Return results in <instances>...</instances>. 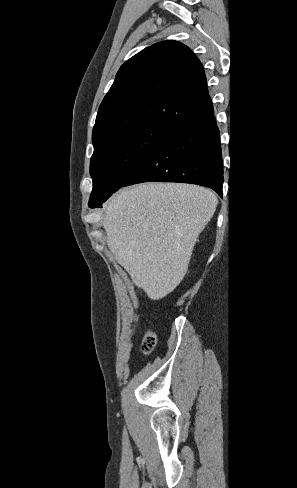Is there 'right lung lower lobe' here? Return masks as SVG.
I'll use <instances>...</instances> for the list:
<instances>
[{
	"instance_id": "obj_1",
	"label": "right lung lower lobe",
	"mask_w": 297,
	"mask_h": 488,
	"mask_svg": "<svg viewBox=\"0 0 297 488\" xmlns=\"http://www.w3.org/2000/svg\"><path fill=\"white\" fill-rule=\"evenodd\" d=\"M149 181L203 185L222 197V152L212 105L172 127L122 186Z\"/></svg>"
}]
</instances>
